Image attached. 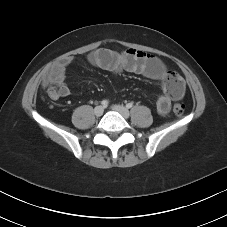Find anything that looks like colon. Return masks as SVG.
<instances>
[{"label":"colon","mask_w":227,"mask_h":227,"mask_svg":"<svg viewBox=\"0 0 227 227\" xmlns=\"http://www.w3.org/2000/svg\"><path fill=\"white\" fill-rule=\"evenodd\" d=\"M169 76L172 78H177L180 77L178 74L174 73V72H170ZM46 86H48V83H45ZM53 93V88L51 86L48 87V94H52ZM173 112L174 114H176L177 116H182L185 112V106L183 104L180 103H176L173 105Z\"/></svg>","instance_id":"obj_1"}]
</instances>
